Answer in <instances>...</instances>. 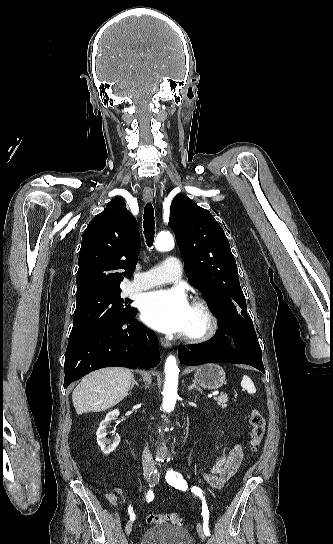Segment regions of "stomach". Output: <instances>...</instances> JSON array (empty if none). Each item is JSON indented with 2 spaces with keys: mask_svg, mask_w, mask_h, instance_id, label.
<instances>
[{
  "mask_svg": "<svg viewBox=\"0 0 333 544\" xmlns=\"http://www.w3.org/2000/svg\"><path fill=\"white\" fill-rule=\"evenodd\" d=\"M195 379L205 389L215 390L225 383V371L215 363H207L197 368Z\"/></svg>",
  "mask_w": 333,
  "mask_h": 544,
  "instance_id": "1",
  "label": "stomach"
}]
</instances>
